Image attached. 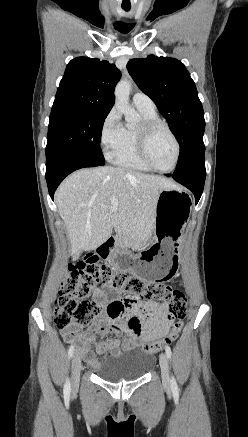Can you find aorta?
<instances>
[{"label": "aorta", "instance_id": "762f6f07", "mask_svg": "<svg viewBox=\"0 0 248 437\" xmlns=\"http://www.w3.org/2000/svg\"><path fill=\"white\" fill-rule=\"evenodd\" d=\"M131 84L127 79H122L115 88V105L121 111L128 123L139 120V114L129 106Z\"/></svg>", "mask_w": 248, "mask_h": 437}]
</instances>
